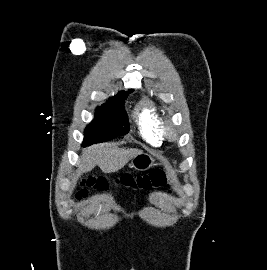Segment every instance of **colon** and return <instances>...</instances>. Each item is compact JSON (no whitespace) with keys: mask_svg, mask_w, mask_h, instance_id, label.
<instances>
[{"mask_svg":"<svg viewBox=\"0 0 267 270\" xmlns=\"http://www.w3.org/2000/svg\"><path fill=\"white\" fill-rule=\"evenodd\" d=\"M119 182L126 187L135 189H161L166 184V177L163 172L156 170L139 177L126 174L119 179ZM108 187L109 183L104 178H88L81 183V188L77 191L76 198L80 199L86 197L90 190L99 192L106 191Z\"/></svg>","mask_w":267,"mask_h":270,"instance_id":"obj_1","label":"colon"}]
</instances>
